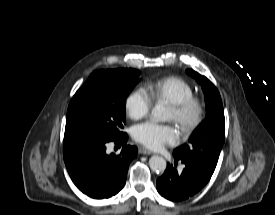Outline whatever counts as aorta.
Listing matches in <instances>:
<instances>
[{
  "label": "aorta",
  "mask_w": 275,
  "mask_h": 215,
  "mask_svg": "<svg viewBox=\"0 0 275 215\" xmlns=\"http://www.w3.org/2000/svg\"><path fill=\"white\" fill-rule=\"evenodd\" d=\"M151 116L156 122H164L168 119L167 110L161 105H156L153 107ZM149 166L152 171L161 173L166 169V161L161 156H152L149 159Z\"/></svg>",
  "instance_id": "762f6f07"
}]
</instances>
